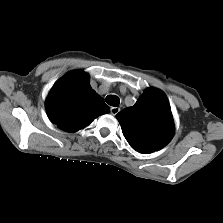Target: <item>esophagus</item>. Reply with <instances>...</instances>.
Returning <instances> with one entry per match:
<instances>
[{
  "label": "esophagus",
  "mask_w": 223,
  "mask_h": 223,
  "mask_svg": "<svg viewBox=\"0 0 223 223\" xmlns=\"http://www.w3.org/2000/svg\"><path fill=\"white\" fill-rule=\"evenodd\" d=\"M110 112L112 115H116L120 112V108L119 107H111Z\"/></svg>",
  "instance_id": "esophagus-1"
}]
</instances>
